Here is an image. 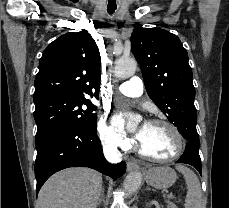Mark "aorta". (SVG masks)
Here are the masks:
<instances>
[{"label": "aorta", "instance_id": "762f6f07", "mask_svg": "<svg viewBox=\"0 0 229 208\" xmlns=\"http://www.w3.org/2000/svg\"><path fill=\"white\" fill-rule=\"evenodd\" d=\"M137 63L131 58L120 59L114 69V74L119 79H125L132 76L136 71ZM139 119L138 116H131L129 125H133ZM142 183V176L139 172L129 173L124 180V189L127 194L135 193Z\"/></svg>", "mask_w": 229, "mask_h": 208}]
</instances>
